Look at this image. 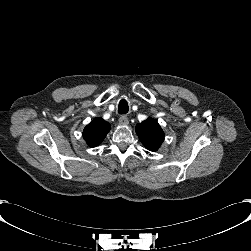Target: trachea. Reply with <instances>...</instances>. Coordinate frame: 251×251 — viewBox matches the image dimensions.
<instances>
[{"mask_svg":"<svg viewBox=\"0 0 251 251\" xmlns=\"http://www.w3.org/2000/svg\"><path fill=\"white\" fill-rule=\"evenodd\" d=\"M128 110H129V106H128L127 101L125 99H122L118 105V113L125 114L128 112Z\"/></svg>","mask_w":251,"mask_h":251,"instance_id":"trachea-1","label":"trachea"}]
</instances>
